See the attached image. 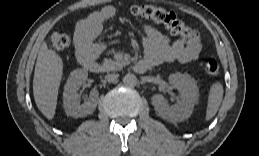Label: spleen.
<instances>
[{
  "instance_id": "obj_1",
  "label": "spleen",
  "mask_w": 259,
  "mask_h": 156,
  "mask_svg": "<svg viewBox=\"0 0 259 156\" xmlns=\"http://www.w3.org/2000/svg\"><path fill=\"white\" fill-rule=\"evenodd\" d=\"M223 93V86L220 82H216L211 85L209 89L205 121H209L217 113L223 99Z\"/></svg>"
}]
</instances>
